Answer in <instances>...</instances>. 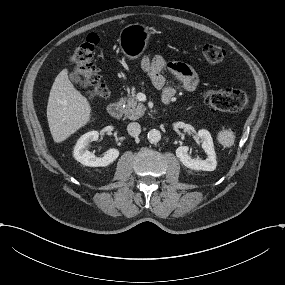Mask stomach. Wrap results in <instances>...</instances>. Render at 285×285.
Masks as SVG:
<instances>
[{"label": "stomach", "instance_id": "obj_1", "mask_svg": "<svg viewBox=\"0 0 285 285\" xmlns=\"http://www.w3.org/2000/svg\"><path fill=\"white\" fill-rule=\"evenodd\" d=\"M151 36L149 26L136 22L121 28L117 42L124 57L136 61L144 54Z\"/></svg>", "mask_w": 285, "mask_h": 285}]
</instances>
